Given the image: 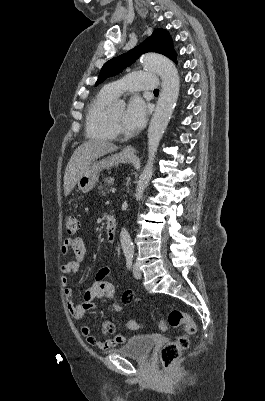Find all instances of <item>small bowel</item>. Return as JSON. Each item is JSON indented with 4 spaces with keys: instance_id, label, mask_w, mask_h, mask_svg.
Masks as SVG:
<instances>
[{
    "instance_id": "c3829d8e",
    "label": "small bowel",
    "mask_w": 265,
    "mask_h": 401,
    "mask_svg": "<svg viewBox=\"0 0 265 401\" xmlns=\"http://www.w3.org/2000/svg\"><path fill=\"white\" fill-rule=\"evenodd\" d=\"M70 251L73 252L74 259L61 265V283L64 287L63 294L69 313L73 318L80 320L84 317L87 311L95 308L96 301L110 300L114 295V287L107 280L111 272L110 268L107 266L101 267L95 274L92 286L84 291L82 302L75 303L73 300V291L68 287V285L70 282V276L75 275L78 272L80 263L85 259L87 254L85 243L81 237L66 238L63 241L61 246L62 254L67 255ZM133 295L134 293L132 290L125 291L122 296V302L113 304L112 310L114 312L122 311L123 305L130 302ZM79 331L89 345L97 347L103 351H108L117 345L125 343L127 340L126 336L123 334H117L114 337L107 338L103 341L99 340L97 337L92 335L89 326L86 324H82ZM102 331L104 335L112 336L115 334L116 326L111 321H105L102 325Z\"/></svg>"
}]
</instances>
